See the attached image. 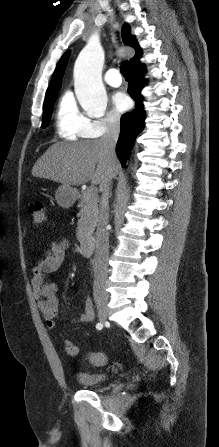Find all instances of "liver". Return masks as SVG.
Instances as JSON below:
<instances>
[{
  "label": "liver",
  "mask_w": 219,
  "mask_h": 447,
  "mask_svg": "<svg viewBox=\"0 0 219 447\" xmlns=\"http://www.w3.org/2000/svg\"><path fill=\"white\" fill-rule=\"evenodd\" d=\"M118 169L117 158L110 164L103 143L98 139L53 144L36 161L32 175L66 186L81 185L90 180L94 185H101L106 179H113Z\"/></svg>",
  "instance_id": "liver-1"
}]
</instances>
